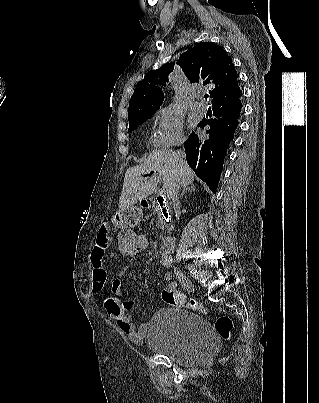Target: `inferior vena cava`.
Returning <instances> with one entry per match:
<instances>
[{
  "instance_id": "602c4592",
  "label": "inferior vena cava",
  "mask_w": 319,
  "mask_h": 403,
  "mask_svg": "<svg viewBox=\"0 0 319 403\" xmlns=\"http://www.w3.org/2000/svg\"><path fill=\"white\" fill-rule=\"evenodd\" d=\"M182 143H183V140L180 139L179 142H178V146H180ZM177 156H178V160H179V161L183 160L184 157H185V152H184V150H181V149L178 150V151H177ZM179 187H180L179 184H178V183H175V184L173 185L171 191H170V198L172 199L173 208H174V211H175V213H176V216H177V214H178V212H179V209H180V204H179Z\"/></svg>"
}]
</instances>
